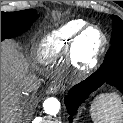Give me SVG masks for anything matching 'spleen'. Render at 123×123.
I'll list each match as a JSON object with an SVG mask.
<instances>
[{"mask_svg":"<svg viewBox=\"0 0 123 123\" xmlns=\"http://www.w3.org/2000/svg\"><path fill=\"white\" fill-rule=\"evenodd\" d=\"M122 112L121 98L116 93L101 94L91 105L94 123H121Z\"/></svg>","mask_w":123,"mask_h":123,"instance_id":"spleen-1","label":"spleen"}]
</instances>
